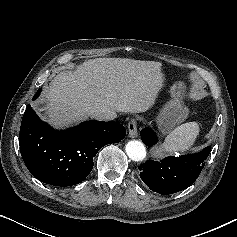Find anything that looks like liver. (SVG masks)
Returning <instances> with one entry per match:
<instances>
[{"mask_svg": "<svg viewBox=\"0 0 237 237\" xmlns=\"http://www.w3.org/2000/svg\"><path fill=\"white\" fill-rule=\"evenodd\" d=\"M164 81L160 62L91 59L55 76L39 111L55 127L93 117L100 110L143 112L153 105Z\"/></svg>", "mask_w": 237, "mask_h": 237, "instance_id": "1", "label": "liver"}]
</instances>
